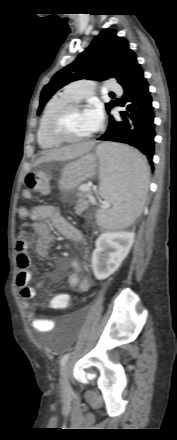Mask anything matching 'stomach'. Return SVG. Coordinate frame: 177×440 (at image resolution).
<instances>
[{"label": "stomach", "mask_w": 177, "mask_h": 440, "mask_svg": "<svg viewBox=\"0 0 177 440\" xmlns=\"http://www.w3.org/2000/svg\"><path fill=\"white\" fill-rule=\"evenodd\" d=\"M100 171V159L95 154H86L66 164L59 178V189L62 192L74 190L84 181L91 179Z\"/></svg>", "instance_id": "0dacf381"}]
</instances>
